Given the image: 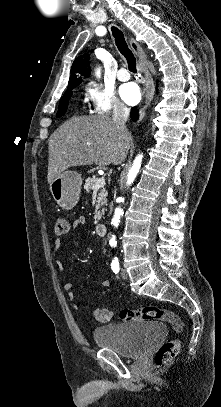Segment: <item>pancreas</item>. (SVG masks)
Returning a JSON list of instances; mask_svg holds the SVG:
<instances>
[{
    "label": "pancreas",
    "mask_w": 221,
    "mask_h": 407,
    "mask_svg": "<svg viewBox=\"0 0 221 407\" xmlns=\"http://www.w3.org/2000/svg\"><path fill=\"white\" fill-rule=\"evenodd\" d=\"M98 180V177L93 176V177H89L86 179L85 181V185H84V189L86 190V192H91L93 190H96L95 187V183ZM107 191L106 189L103 187H101V191L98 193V198H97V205L95 208V212H94V219H95V223H98L101 218L102 215L105 212V205L107 204Z\"/></svg>",
    "instance_id": "obj_1"
}]
</instances>
